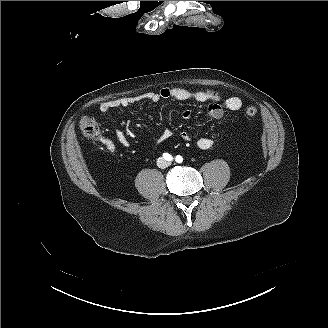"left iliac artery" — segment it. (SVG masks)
<instances>
[{"mask_svg": "<svg viewBox=\"0 0 328 328\" xmlns=\"http://www.w3.org/2000/svg\"><path fill=\"white\" fill-rule=\"evenodd\" d=\"M176 162H182L183 158L180 155L176 156Z\"/></svg>", "mask_w": 328, "mask_h": 328, "instance_id": "1", "label": "left iliac artery"}]
</instances>
